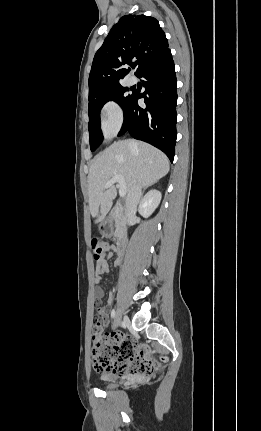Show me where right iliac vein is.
Masks as SVG:
<instances>
[{
  "label": "right iliac vein",
  "mask_w": 261,
  "mask_h": 431,
  "mask_svg": "<svg viewBox=\"0 0 261 431\" xmlns=\"http://www.w3.org/2000/svg\"><path fill=\"white\" fill-rule=\"evenodd\" d=\"M121 320H122V314H121V311L118 310L114 319L113 327L117 328L120 325Z\"/></svg>",
  "instance_id": "obj_1"
}]
</instances>
